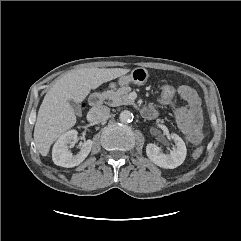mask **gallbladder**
I'll use <instances>...</instances> for the list:
<instances>
[{"label":"gallbladder","instance_id":"gallbladder-1","mask_svg":"<svg viewBox=\"0 0 241 241\" xmlns=\"http://www.w3.org/2000/svg\"><path fill=\"white\" fill-rule=\"evenodd\" d=\"M69 104L71 106V108L74 110V112L76 114H80L81 113V109L80 106L77 102L73 101V100H69Z\"/></svg>","mask_w":241,"mask_h":241}]
</instances>
